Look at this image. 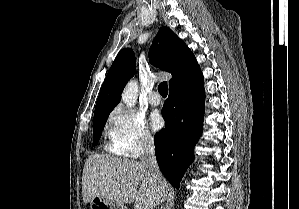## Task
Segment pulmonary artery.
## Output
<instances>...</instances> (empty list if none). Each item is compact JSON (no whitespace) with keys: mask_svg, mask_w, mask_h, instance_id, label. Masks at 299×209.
I'll list each match as a JSON object with an SVG mask.
<instances>
[{"mask_svg":"<svg viewBox=\"0 0 299 209\" xmlns=\"http://www.w3.org/2000/svg\"><path fill=\"white\" fill-rule=\"evenodd\" d=\"M148 101L151 105L153 106H158L161 104L162 100H161V97L159 96L158 92L157 91H152L150 94H149V97H148Z\"/></svg>","mask_w":299,"mask_h":209,"instance_id":"1","label":"pulmonary artery"}]
</instances>
